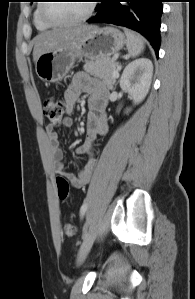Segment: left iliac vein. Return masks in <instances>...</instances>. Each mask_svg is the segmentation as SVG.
Instances as JSON below:
<instances>
[{
  "label": "left iliac vein",
  "mask_w": 195,
  "mask_h": 299,
  "mask_svg": "<svg viewBox=\"0 0 195 299\" xmlns=\"http://www.w3.org/2000/svg\"><path fill=\"white\" fill-rule=\"evenodd\" d=\"M95 236H96V233L92 230L89 232H86L84 234L83 242L80 247L79 254H78V260L80 262L86 258L87 254H88L89 250L91 249L92 244L95 240Z\"/></svg>",
  "instance_id": "left-iliac-vein-1"
}]
</instances>
